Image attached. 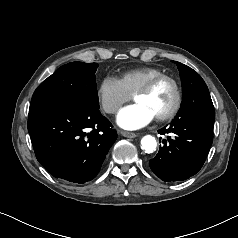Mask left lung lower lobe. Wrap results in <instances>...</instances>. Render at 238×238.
Instances as JSON below:
<instances>
[{
  "label": "left lung lower lobe",
  "instance_id": "obj_1",
  "mask_svg": "<svg viewBox=\"0 0 238 238\" xmlns=\"http://www.w3.org/2000/svg\"><path fill=\"white\" fill-rule=\"evenodd\" d=\"M214 119H173L160 134L163 140L158 154L150 160L151 170L161 180L181 181L196 174L203 166L213 141Z\"/></svg>",
  "mask_w": 238,
  "mask_h": 238
}]
</instances>
